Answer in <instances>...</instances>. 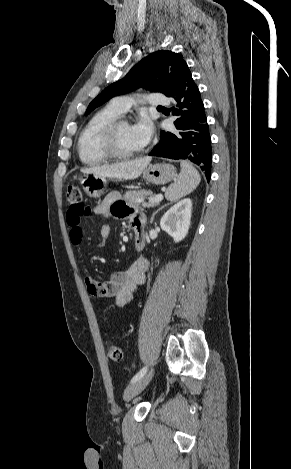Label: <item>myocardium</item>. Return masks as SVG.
<instances>
[{
  "label": "myocardium",
  "mask_w": 291,
  "mask_h": 469,
  "mask_svg": "<svg viewBox=\"0 0 291 469\" xmlns=\"http://www.w3.org/2000/svg\"><path fill=\"white\" fill-rule=\"evenodd\" d=\"M122 124H129V121L125 117L119 116L115 118L114 120H112L111 122H109L102 131V135H101L102 148L109 158L118 159V160L129 159V158H132L141 154L145 150L144 148H141L136 151L123 152L118 148L117 142H116V135H117L118 128Z\"/></svg>",
  "instance_id": "obj_1"
}]
</instances>
